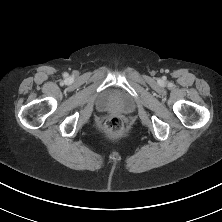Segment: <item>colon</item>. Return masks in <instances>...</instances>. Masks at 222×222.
Masks as SVG:
<instances>
[{
    "mask_svg": "<svg viewBox=\"0 0 222 222\" xmlns=\"http://www.w3.org/2000/svg\"><path fill=\"white\" fill-rule=\"evenodd\" d=\"M123 121L118 116L110 117L105 122V128L109 134L113 136H118L123 131Z\"/></svg>",
    "mask_w": 222,
    "mask_h": 222,
    "instance_id": "colon-1",
    "label": "colon"
}]
</instances>
